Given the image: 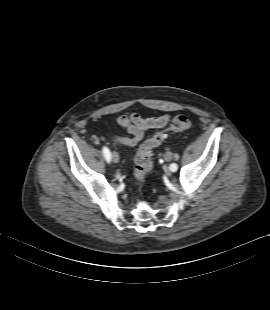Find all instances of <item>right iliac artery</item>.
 I'll list each match as a JSON object with an SVG mask.
<instances>
[{
  "label": "right iliac artery",
  "mask_w": 270,
  "mask_h": 310,
  "mask_svg": "<svg viewBox=\"0 0 270 310\" xmlns=\"http://www.w3.org/2000/svg\"><path fill=\"white\" fill-rule=\"evenodd\" d=\"M102 151H103V155H104L105 159L109 162L111 160L110 150L106 146H104Z\"/></svg>",
  "instance_id": "1"
}]
</instances>
